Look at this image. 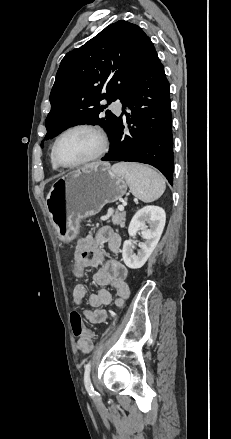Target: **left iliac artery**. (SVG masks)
<instances>
[{
	"label": "left iliac artery",
	"mask_w": 231,
	"mask_h": 439,
	"mask_svg": "<svg viewBox=\"0 0 231 439\" xmlns=\"http://www.w3.org/2000/svg\"><path fill=\"white\" fill-rule=\"evenodd\" d=\"M90 370H91V363L88 362L85 366L84 385H85V388H86L88 394L90 396H94L96 394V392H95V390L92 386L91 380H90Z\"/></svg>",
	"instance_id": "left-iliac-artery-1"
}]
</instances>
